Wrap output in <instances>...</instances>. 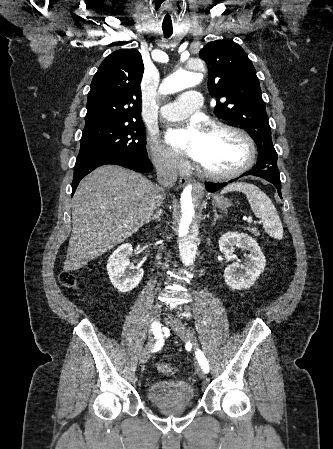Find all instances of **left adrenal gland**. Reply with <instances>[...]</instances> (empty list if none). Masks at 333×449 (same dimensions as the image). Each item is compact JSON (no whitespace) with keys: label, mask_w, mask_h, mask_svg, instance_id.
Here are the masks:
<instances>
[{"label":"left adrenal gland","mask_w":333,"mask_h":449,"mask_svg":"<svg viewBox=\"0 0 333 449\" xmlns=\"http://www.w3.org/2000/svg\"><path fill=\"white\" fill-rule=\"evenodd\" d=\"M221 218H222V216L219 215V214L216 212V210H214V219H213L212 225H215V224H216V221H217L218 219H221Z\"/></svg>","instance_id":"left-adrenal-gland-1"}]
</instances>
